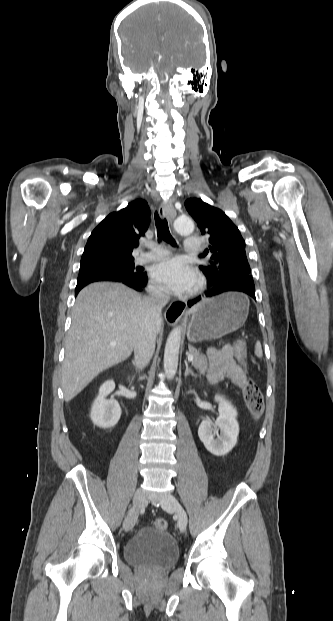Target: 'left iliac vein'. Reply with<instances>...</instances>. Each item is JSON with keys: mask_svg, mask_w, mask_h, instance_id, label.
<instances>
[{"mask_svg": "<svg viewBox=\"0 0 333 621\" xmlns=\"http://www.w3.org/2000/svg\"><path fill=\"white\" fill-rule=\"evenodd\" d=\"M161 506L166 511H172L177 516L178 526L181 532H185L187 526V514L178 500L171 494H167L161 500Z\"/></svg>", "mask_w": 333, "mask_h": 621, "instance_id": "left-iliac-vein-1", "label": "left iliac vein"}]
</instances>
